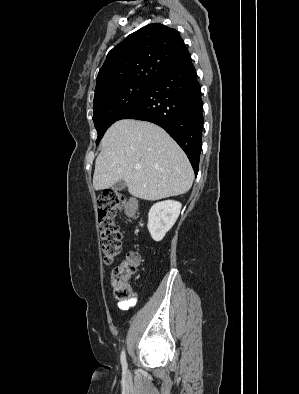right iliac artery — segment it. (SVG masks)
<instances>
[{
    "label": "right iliac artery",
    "mask_w": 299,
    "mask_h": 394,
    "mask_svg": "<svg viewBox=\"0 0 299 394\" xmlns=\"http://www.w3.org/2000/svg\"><path fill=\"white\" fill-rule=\"evenodd\" d=\"M120 360H121V364H122L123 369H126L127 368V362H126V354H125V350L124 349L121 352Z\"/></svg>",
    "instance_id": "82829eb1"
}]
</instances>
